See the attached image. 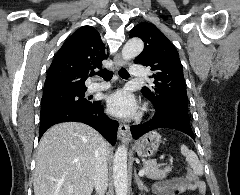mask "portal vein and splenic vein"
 I'll list each match as a JSON object with an SVG mask.
<instances>
[{
    "label": "portal vein and splenic vein",
    "mask_w": 240,
    "mask_h": 195,
    "mask_svg": "<svg viewBox=\"0 0 240 195\" xmlns=\"http://www.w3.org/2000/svg\"><path fill=\"white\" fill-rule=\"evenodd\" d=\"M144 173H145V169H140L138 175H141V177H142V175H144Z\"/></svg>",
    "instance_id": "1"
}]
</instances>
